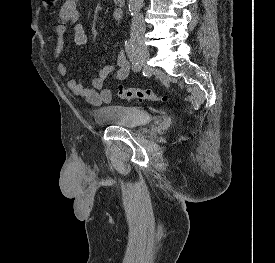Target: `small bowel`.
<instances>
[{"instance_id": "obj_1", "label": "small bowel", "mask_w": 275, "mask_h": 263, "mask_svg": "<svg viewBox=\"0 0 275 263\" xmlns=\"http://www.w3.org/2000/svg\"><path fill=\"white\" fill-rule=\"evenodd\" d=\"M79 0H66L59 10V22L56 26V46L54 49V57L58 60L57 72L65 77L68 74L66 65L60 61L63 48L64 38L67 27L73 25V40L77 46H84L87 43V33L84 27L78 23L79 19ZM114 22H120L122 12L119 9H114L111 14ZM131 71L130 62L125 52L120 51L116 57V65L107 64L103 66L98 75L92 80V87L88 88L79 83L73 78L66 81L68 89L79 97L85 100L92 106H101L112 102V92L104 87L107 78L113 81L120 82L125 80Z\"/></svg>"}]
</instances>
